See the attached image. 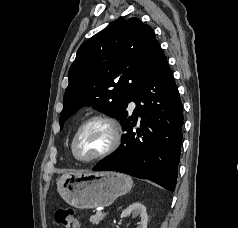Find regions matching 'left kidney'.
Wrapping results in <instances>:
<instances>
[{"label": "left kidney", "mask_w": 238, "mask_h": 228, "mask_svg": "<svg viewBox=\"0 0 238 228\" xmlns=\"http://www.w3.org/2000/svg\"><path fill=\"white\" fill-rule=\"evenodd\" d=\"M130 214L135 217L140 216V222L137 228H147L148 215L143 204H141L140 202L132 203L121 213V218L127 217Z\"/></svg>", "instance_id": "1"}]
</instances>
